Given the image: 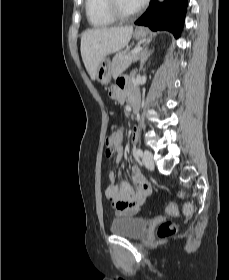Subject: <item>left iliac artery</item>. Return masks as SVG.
Returning <instances> with one entry per match:
<instances>
[{"mask_svg": "<svg viewBox=\"0 0 229 280\" xmlns=\"http://www.w3.org/2000/svg\"><path fill=\"white\" fill-rule=\"evenodd\" d=\"M135 153H136V155H137L138 157H141V156L143 155V152H142V150H141L140 148H137L136 151H135Z\"/></svg>", "mask_w": 229, "mask_h": 280, "instance_id": "1", "label": "left iliac artery"}]
</instances>
